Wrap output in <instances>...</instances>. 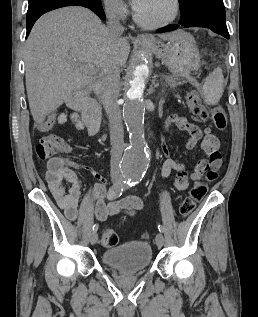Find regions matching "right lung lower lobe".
<instances>
[{"label": "right lung lower lobe", "mask_w": 258, "mask_h": 317, "mask_svg": "<svg viewBox=\"0 0 258 317\" xmlns=\"http://www.w3.org/2000/svg\"><path fill=\"white\" fill-rule=\"evenodd\" d=\"M29 7L26 17L28 37L36 20L44 13L65 6H83L92 10L102 20H105V13L101 0H28Z\"/></svg>", "instance_id": "right-lung-lower-lobe-1"}]
</instances>
